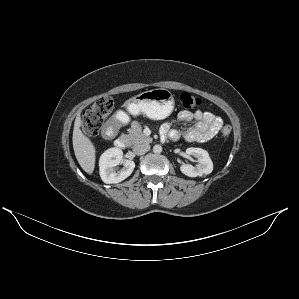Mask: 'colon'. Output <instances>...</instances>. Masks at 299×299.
Returning <instances> with one entry per match:
<instances>
[{"mask_svg":"<svg viewBox=\"0 0 299 299\" xmlns=\"http://www.w3.org/2000/svg\"><path fill=\"white\" fill-rule=\"evenodd\" d=\"M201 99L184 92L180 95V104L186 109H194L201 105ZM114 101L111 96H103L95 101L92 106L85 111L82 119V129L86 136L94 137L99 134L106 118L112 113ZM223 136L227 137L231 133V127L224 125L221 129Z\"/></svg>","mask_w":299,"mask_h":299,"instance_id":"colon-1","label":"colon"}]
</instances>
